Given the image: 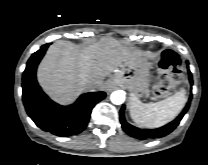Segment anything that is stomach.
<instances>
[{
  "mask_svg": "<svg viewBox=\"0 0 208 165\" xmlns=\"http://www.w3.org/2000/svg\"><path fill=\"white\" fill-rule=\"evenodd\" d=\"M149 69L147 58L138 55L129 62L125 70L112 78L111 83L126 87L137 98L142 97L149 92Z\"/></svg>",
  "mask_w": 208,
  "mask_h": 165,
  "instance_id": "0dacf381",
  "label": "stomach"
}]
</instances>
